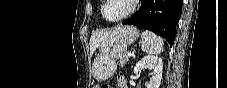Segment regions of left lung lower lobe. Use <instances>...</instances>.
I'll return each instance as SVG.
<instances>
[{
    "label": "left lung lower lobe",
    "instance_id": "0a47b994",
    "mask_svg": "<svg viewBox=\"0 0 227 88\" xmlns=\"http://www.w3.org/2000/svg\"><path fill=\"white\" fill-rule=\"evenodd\" d=\"M183 0H141L138 12L123 24L136 25L164 37L172 46Z\"/></svg>",
    "mask_w": 227,
    "mask_h": 88
}]
</instances>
